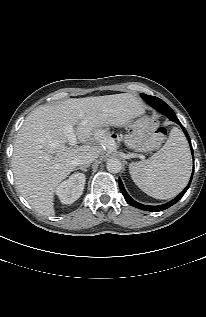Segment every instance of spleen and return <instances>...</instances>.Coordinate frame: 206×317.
<instances>
[{
	"label": "spleen",
	"instance_id": "3e777b00",
	"mask_svg": "<svg viewBox=\"0 0 206 317\" xmlns=\"http://www.w3.org/2000/svg\"><path fill=\"white\" fill-rule=\"evenodd\" d=\"M191 156L183 133L174 127L164 146L149 159L129 165L134 183L156 199H169L187 185Z\"/></svg>",
	"mask_w": 206,
	"mask_h": 317
}]
</instances>
